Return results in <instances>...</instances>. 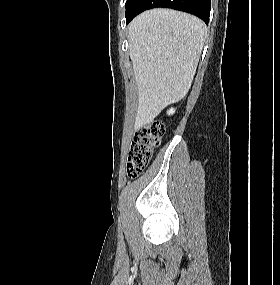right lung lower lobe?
<instances>
[{"label":"right lung lower lobe","mask_w":280,"mask_h":285,"mask_svg":"<svg viewBox=\"0 0 280 285\" xmlns=\"http://www.w3.org/2000/svg\"><path fill=\"white\" fill-rule=\"evenodd\" d=\"M155 7H167L185 11L201 18L208 24L211 0H140L135 10L126 17V22L129 23L139 13Z\"/></svg>","instance_id":"obj_1"}]
</instances>
